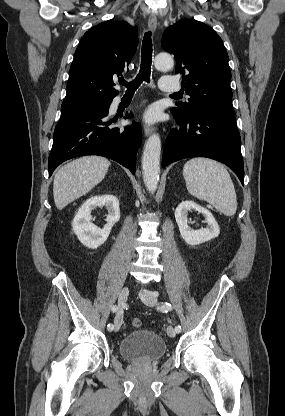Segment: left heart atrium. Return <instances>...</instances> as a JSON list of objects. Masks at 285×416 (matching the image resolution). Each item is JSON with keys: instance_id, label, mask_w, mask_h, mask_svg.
<instances>
[{"instance_id": "39dd6f15", "label": "left heart atrium", "mask_w": 285, "mask_h": 416, "mask_svg": "<svg viewBox=\"0 0 285 416\" xmlns=\"http://www.w3.org/2000/svg\"><path fill=\"white\" fill-rule=\"evenodd\" d=\"M155 118H156V114H155V112L152 109H149V110L146 111V113H145V119L147 121L152 122V121L155 120Z\"/></svg>"}]
</instances>
